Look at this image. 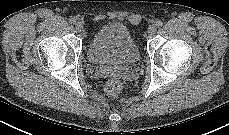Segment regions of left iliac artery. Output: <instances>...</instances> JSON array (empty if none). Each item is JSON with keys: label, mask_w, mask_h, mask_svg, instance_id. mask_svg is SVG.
<instances>
[{"label": "left iliac artery", "mask_w": 229, "mask_h": 135, "mask_svg": "<svg viewBox=\"0 0 229 135\" xmlns=\"http://www.w3.org/2000/svg\"><path fill=\"white\" fill-rule=\"evenodd\" d=\"M163 25V22L162 21H157V26L160 27Z\"/></svg>", "instance_id": "44dca946"}]
</instances>
